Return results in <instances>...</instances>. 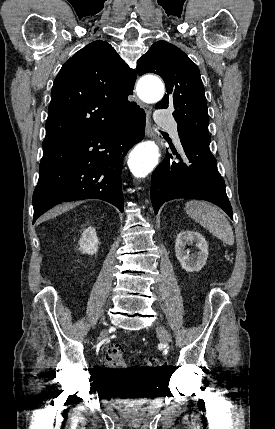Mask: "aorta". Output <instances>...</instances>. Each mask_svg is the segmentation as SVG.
<instances>
[{"label":"aorta","instance_id":"762f6f07","mask_svg":"<svg viewBox=\"0 0 275 429\" xmlns=\"http://www.w3.org/2000/svg\"><path fill=\"white\" fill-rule=\"evenodd\" d=\"M139 97L147 103H156L164 95V85L156 77L143 78L139 82ZM159 148L153 141L138 144L130 154L129 167L136 178H144L158 164Z\"/></svg>","mask_w":275,"mask_h":429}]
</instances>
